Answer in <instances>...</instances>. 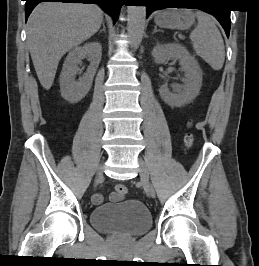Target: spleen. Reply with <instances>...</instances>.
I'll return each mask as SVG.
<instances>
[{"label": "spleen", "instance_id": "obj_1", "mask_svg": "<svg viewBox=\"0 0 259 266\" xmlns=\"http://www.w3.org/2000/svg\"><path fill=\"white\" fill-rule=\"evenodd\" d=\"M198 24L190 33L196 55L206 61L212 69L218 71L225 60V46L213 19L202 11H196Z\"/></svg>", "mask_w": 259, "mask_h": 266}]
</instances>
